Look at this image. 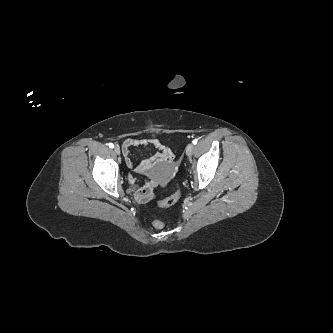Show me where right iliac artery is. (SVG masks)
Segmentation results:
<instances>
[{
  "instance_id": "right-iliac-artery-1",
  "label": "right iliac artery",
  "mask_w": 333,
  "mask_h": 333,
  "mask_svg": "<svg viewBox=\"0 0 333 333\" xmlns=\"http://www.w3.org/2000/svg\"><path fill=\"white\" fill-rule=\"evenodd\" d=\"M109 147H110V148H114L113 143H110V144H109Z\"/></svg>"
}]
</instances>
